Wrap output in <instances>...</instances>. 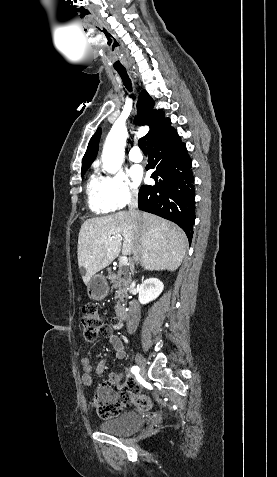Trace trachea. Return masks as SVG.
<instances>
[{
  "label": "trachea",
  "instance_id": "3493384b",
  "mask_svg": "<svg viewBox=\"0 0 277 477\" xmlns=\"http://www.w3.org/2000/svg\"><path fill=\"white\" fill-rule=\"evenodd\" d=\"M118 74L120 75L125 87L129 91H131L132 90V83H131V79L129 78V75H128L127 71L126 70L118 71ZM138 145L144 153L147 152L146 139L145 138H140L139 141H138Z\"/></svg>",
  "mask_w": 277,
  "mask_h": 477
}]
</instances>
